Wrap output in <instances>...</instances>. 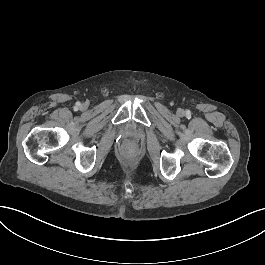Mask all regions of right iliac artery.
Listing matches in <instances>:
<instances>
[{"mask_svg": "<svg viewBox=\"0 0 265 265\" xmlns=\"http://www.w3.org/2000/svg\"><path fill=\"white\" fill-rule=\"evenodd\" d=\"M80 106V103H76L75 109H77Z\"/></svg>", "mask_w": 265, "mask_h": 265, "instance_id": "right-iliac-artery-1", "label": "right iliac artery"}]
</instances>
